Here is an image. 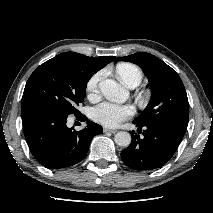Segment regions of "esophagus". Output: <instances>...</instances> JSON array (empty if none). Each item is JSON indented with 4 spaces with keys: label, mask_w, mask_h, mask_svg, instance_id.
I'll return each mask as SVG.
<instances>
[{
    "label": "esophagus",
    "mask_w": 213,
    "mask_h": 213,
    "mask_svg": "<svg viewBox=\"0 0 213 213\" xmlns=\"http://www.w3.org/2000/svg\"><path fill=\"white\" fill-rule=\"evenodd\" d=\"M103 132H104V133H112V134H114V133L117 132V130H115V129L104 128V129H103Z\"/></svg>",
    "instance_id": "obj_1"
}]
</instances>
